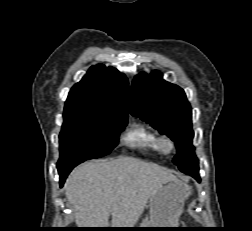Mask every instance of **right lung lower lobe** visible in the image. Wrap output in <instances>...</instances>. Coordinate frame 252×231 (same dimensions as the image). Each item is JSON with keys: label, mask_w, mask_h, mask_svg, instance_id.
<instances>
[{"label": "right lung lower lobe", "mask_w": 252, "mask_h": 231, "mask_svg": "<svg viewBox=\"0 0 252 231\" xmlns=\"http://www.w3.org/2000/svg\"><path fill=\"white\" fill-rule=\"evenodd\" d=\"M78 165V164H77ZM77 165H72L70 167L67 168H63L58 170L59 172V176H60V186H62L64 184L65 179L67 178L68 174L71 172V170L77 166Z\"/></svg>", "instance_id": "98d812e1"}]
</instances>
